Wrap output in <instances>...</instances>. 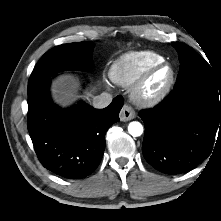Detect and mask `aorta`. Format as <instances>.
<instances>
[{"label": "aorta", "mask_w": 221, "mask_h": 221, "mask_svg": "<svg viewBox=\"0 0 221 221\" xmlns=\"http://www.w3.org/2000/svg\"><path fill=\"white\" fill-rule=\"evenodd\" d=\"M128 132L133 137L141 136L143 133V126L140 122L133 121L128 125Z\"/></svg>", "instance_id": "1"}]
</instances>
